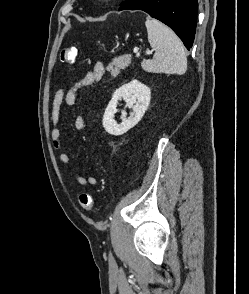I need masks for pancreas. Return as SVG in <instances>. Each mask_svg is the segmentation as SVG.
Returning a JSON list of instances; mask_svg holds the SVG:
<instances>
[{"label": "pancreas", "mask_w": 249, "mask_h": 294, "mask_svg": "<svg viewBox=\"0 0 249 294\" xmlns=\"http://www.w3.org/2000/svg\"><path fill=\"white\" fill-rule=\"evenodd\" d=\"M131 63L130 55H124L121 57H116L108 65L107 71L111 72L113 77H116L121 70H124Z\"/></svg>", "instance_id": "cf45deb5"}]
</instances>
